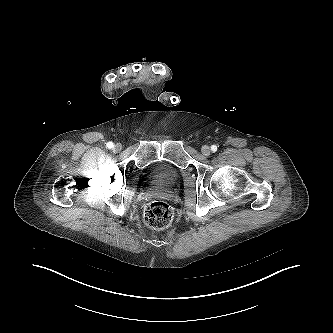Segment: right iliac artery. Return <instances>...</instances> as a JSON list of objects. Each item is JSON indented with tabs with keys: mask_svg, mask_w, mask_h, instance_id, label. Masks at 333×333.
<instances>
[{
	"mask_svg": "<svg viewBox=\"0 0 333 333\" xmlns=\"http://www.w3.org/2000/svg\"><path fill=\"white\" fill-rule=\"evenodd\" d=\"M107 147H108L109 149H111V148L114 147V144H113L112 142H108V143H107Z\"/></svg>",
	"mask_w": 333,
	"mask_h": 333,
	"instance_id": "82829eb1",
	"label": "right iliac artery"
}]
</instances>
